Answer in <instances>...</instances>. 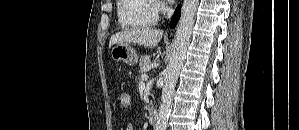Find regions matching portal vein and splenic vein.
Instances as JSON below:
<instances>
[{
    "label": "portal vein and splenic vein",
    "instance_id": "portal-vein-and-splenic-vein-1",
    "mask_svg": "<svg viewBox=\"0 0 299 130\" xmlns=\"http://www.w3.org/2000/svg\"><path fill=\"white\" fill-rule=\"evenodd\" d=\"M147 78H148V76H147L146 74H142V75H141V80H142V81L147 80Z\"/></svg>",
    "mask_w": 299,
    "mask_h": 130
}]
</instances>
